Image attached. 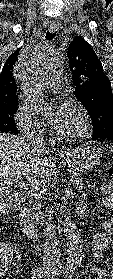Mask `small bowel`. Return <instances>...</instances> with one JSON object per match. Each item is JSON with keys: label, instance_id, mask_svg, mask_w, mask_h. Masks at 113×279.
Returning <instances> with one entry per match:
<instances>
[{"label": "small bowel", "instance_id": "c3829d8e", "mask_svg": "<svg viewBox=\"0 0 113 279\" xmlns=\"http://www.w3.org/2000/svg\"><path fill=\"white\" fill-rule=\"evenodd\" d=\"M103 205L113 207V192H108L104 198ZM93 250V258L96 262H102L105 258V251L113 245V217L107 220L101 230L95 233L90 240ZM91 271L98 276V279H113V263L109 269L103 267H92Z\"/></svg>", "mask_w": 113, "mask_h": 279}]
</instances>
